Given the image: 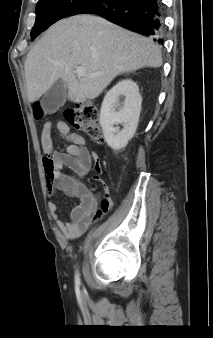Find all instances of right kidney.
Wrapping results in <instances>:
<instances>
[{
  "label": "right kidney",
  "instance_id": "ca27d5eb",
  "mask_svg": "<svg viewBox=\"0 0 213 338\" xmlns=\"http://www.w3.org/2000/svg\"><path fill=\"white\" fill-rule=\"evenodd\" d=\"M120 97L125 98L120 101ZM141 103L139 87L130 79L120 81L105 95L100 110V124L104 138L112 149L119 150L125 147L134 136L139 122ZM119 124H122V130L117 126Z\"/></svg>",
  "mask_w": 213,
  "mask_h": 338
}]
</instances>
